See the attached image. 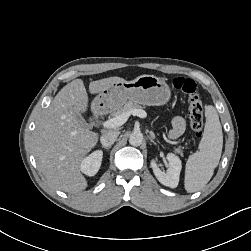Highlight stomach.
<instances>
[{
	"instance_id": "1",
	"label": "stomach",
	"mask_w": 251,
	"mask_h": 251,
	"mask_svg": "<svg viewBox=\"0 0 251 251\" xmlns=\"http://www.w3.org/2000/svg\"><path fill=\"white\" fill-rule=\"evenodd\" d=\"M171 97V90L166 81L154 75H141L132 81L111 84L95 97L93 109L103 112L117 109L126 101L142 105L160 106Z\"/></svg>"
}]
</instances>
